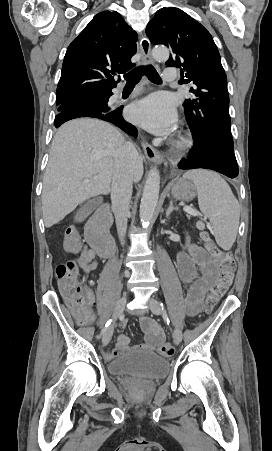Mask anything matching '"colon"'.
<instances>
[{
	"label": "colon",
	"mask_w": 272,
	"mask_h": 451,
	"mask_svg": "<svg viewBox=\"0 0 272 451\" xmlns=\"http://www.w3.org/2000/svg\"><path fill=\"white\" fill-rule=\"evenodd\" d=\"M201 236L205 238V243H209L208 233L203 231ZM62 242L68 256H76L78 249H81V237L78 230H64ZM222 263V267L214 274L213 288L208 296L209 306L214 305L219 298L226 292L235 275L236 262L231 251H224L210 244L208 249ZM78 261H65L56 266V276L59 282V289H62V297H66V303H71V310H88V303L91 302V294H88V288H81L77 270ZM85 269L90 265L85 264ZM160 352L169 356L174 352V347L170 342L160 343Z\"/></svg>",
	"instance_id": "obj_1"
}]
</instances>
